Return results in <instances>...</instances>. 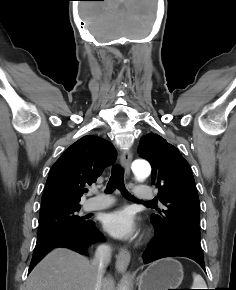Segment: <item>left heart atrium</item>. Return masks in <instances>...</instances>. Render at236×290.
Instances as JSON below:
<instances>
[{
    "label": "left heart atrium",
    "instance_id": "obj_1",
    "mask_svg": "<svg viewBox=\"0 0 236 290\" xmlns=\"http://www.w3.org/2000/svg\"><path fill=\"white\" fill-rule=\"evenodd\" d=\"M103 226L108 233L121 239L132 237L136 229L133 217L126 209H118L107 214Z\"/></svg>",
    "mask_w": 236,
    "mask_h": 290
}]
</instances>
